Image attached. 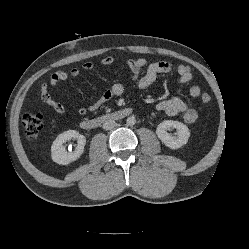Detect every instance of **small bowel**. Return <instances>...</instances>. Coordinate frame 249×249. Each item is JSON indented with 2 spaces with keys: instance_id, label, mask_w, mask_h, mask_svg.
Here are the masks:
<instances>
[{
  "instance_id": "1",
  "label": "small bowel",
  "mask_w": 249,
  "mask_h": 249,
  "mask_svg": "<svg viewBox=\"0 0 249 249\" xmlns=\"http://www.w3.org/2000/svg\"><path fill=\"white\" fill-rule=\"evenodd\" d=\"M121 61L131 72L133 79L136 82V86L139 89H147L153 85L158 76L170 72L171 65L168 62H154L147 67L144 75L139 77L141 70L146 66V61L144 59H120L115 56H107L102 59L101 63L105 66L113 65ZM84 71H93L95 69V64L92 62H86L82 65ZM178 79L177 83L179 85L189 83L193 79V73L189 66L180 65L177 68ZM82 74L80 68H73L69 72L57 71L53 73L50 77L49 85L43 84L41 87V99L48 106L53 108L59 114L65 113V107L62 103L56 101L49 93V88L54 90L60 82H67L71 78H79ZM124 92V85L121 83H114L110 88L106 89L102 97L94 102L88 107V110L92 111L99 108L103 103L110 100L113 96H119ZM200 93V88L197 85H193L190 88V94L193 97H197ZM155 108L158 111L164 112L169 116L181 115L184 122L187 124H192L197 119L196 110L189 108L186 103L177 96H172L170 98L158 99L155 102ZM87 110L85 108L78 109V114L82 115Z\"/></svg>"
}]
</instances>
